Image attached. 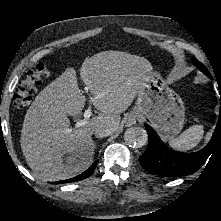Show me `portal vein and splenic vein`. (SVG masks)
<instances>
[{
  "label": "portal vein and splenic vein",
  "instance_id": "18ae733b",
  "mask_svg": "<svg viewBox=\"0 0 221 221\" xmlns=\"http://www.w3.org/2000/svg\"><path fill=\"white\" fill-rule=\"evenodd\" d=\"M88 90H89L88 87H85L86 93H88ZM100 97L101 95H97L96 97L89 96L90 103L95 102ZM91 115H92V110H91V106H89L84 112V119L78 121L75 124V128L77 129V128L84 126L87 123L88 119L91 117Z\"/></svg>",
  "mask_w": 221,
  "mask_h": 221
}]
</instances>
